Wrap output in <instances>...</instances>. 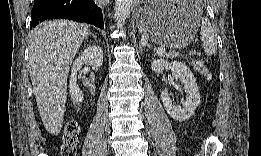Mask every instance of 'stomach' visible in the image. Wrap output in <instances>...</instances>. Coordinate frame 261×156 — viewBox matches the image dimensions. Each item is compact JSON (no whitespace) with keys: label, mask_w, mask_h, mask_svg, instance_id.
Instances as JSON below:
<instances>
[{"label":"stomach","mask_w":261,"mask_h":156,"mask_svg":"<svg viewBox=\"0 0 261 156\" xmlns=\"http://www.w3.org/2000/svg\"><path fill=\"white\" fill-rule=\"evenodd\" d=\"M202 10L195 2H140L135 9L139 31L149 41L185 48L194 39Z\"/></svg>","instance_id":"0dacf381"}]
</instances>
